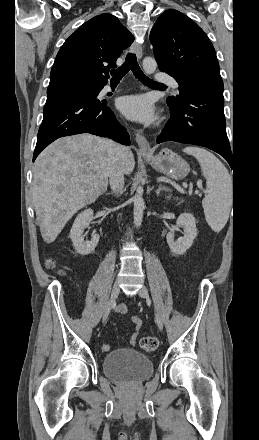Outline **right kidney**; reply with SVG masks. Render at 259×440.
<instances>
[{"label":"right kidney","instance_id":"obj_1","mask_svg":"<svg viewBox=\"0 0 259 440\" xmlns=\"http://www.w3.org/2000/svg\"><path fill=\"white\" fill-rule=\"evenodd\" d=\"M92 220L93 210L85 209L76 217L70 230L69 237L73 242L74 249L82 256L91 254L99 242L98 234H93L90 241H84L82 236L84 229L90 225Z\"/></svg>","mask_w":259,"mask_h":440}]
</instances>
